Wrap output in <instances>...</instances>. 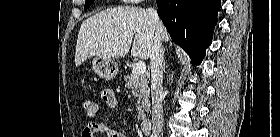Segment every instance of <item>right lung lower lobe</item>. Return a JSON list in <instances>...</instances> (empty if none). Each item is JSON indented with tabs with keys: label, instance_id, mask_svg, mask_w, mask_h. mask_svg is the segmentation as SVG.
I'll return each instance as SVG.
<instances>
[{
	"label": "right lung lower lobe",
	"instance_id": "obj_1",
	"mask_svg": "<svg viewBox=\"0 0 280 137\" xmlns=\"http://www.w3.org/2000/svg\"><path fill=\"white\" fill-rule=\"evenodd\" d=\"M158 15L173 41L199 64L212 42L220 0H156Z\"/></svg>",
	"mask_w": 280,
	"mask_h": 137
}]
</instances>
